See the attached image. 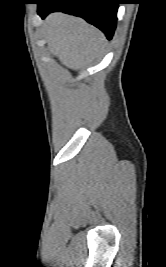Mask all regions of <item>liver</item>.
Segmentation results:
<instances>
[{
  "instance_id": "1",
  "label": "liver",
  "mask_w": 166,
  "mask_h": 267,
  "mask_svg": "<svg viewBox=\"0 0 166 267\" xmlns=\"http://www.w3.org/2000/svg\"><path fill=\"white\" fill-rule=\"evenodd\" d=\"M44 26L49 50L70 69L83 68L103 52L104 34L81 18L52 13Z\"/></svg>"
}]
</instances>
